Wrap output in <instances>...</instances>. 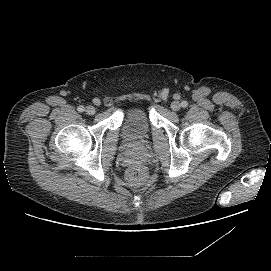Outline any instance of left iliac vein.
<instances>
[{
  "mask_svg": "<svg viewBox=\"0 0 271 271\" xmlns=\"http://www.w3.org/2000/svg\"><path fill=\"white\" fill-rule=\"evenodd\" d=\"M180 108H181V104L178 101H173L171 103V109L173 111H178V110H180Z\"/></svg>",
  "mask_w": 271,
  "mask_h": 271,
  "instance_id": "4c4485c4",
  "label": "left iliac vein"
}]
</instances>
